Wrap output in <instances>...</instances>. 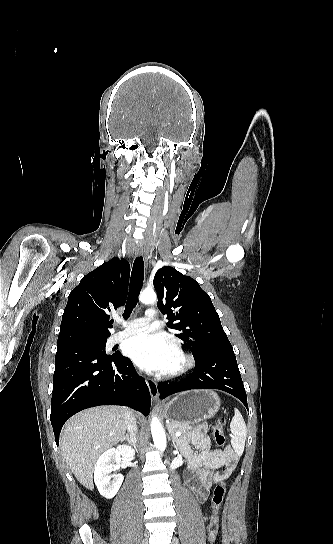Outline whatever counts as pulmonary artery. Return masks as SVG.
Masks as SVG:
<instances>
[{
  "mask_svg": "<svg viewBox=\"0 0 333 544\" xmlns=\"http://www.w3.org/2000/svg\"><path fill=\"white\" fill-rule=\"evenodd\" d=\"M157 318L158 311L154 308H149L146 311L145 317L136 318L130 321H118L123 329L110 336L109 344L114 345L129 335L144 331L148 327L149 323Z\"/></svg>",
  "mask_w": 333,
  "mask_h": 544,
  "instance_id": "obj_1",
  "label": "pulmonary artery"
}]
</instances>
